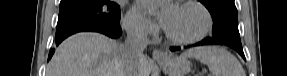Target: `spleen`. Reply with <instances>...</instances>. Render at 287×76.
Here are the masks:
<instances>
[{
  "instance_id": "spleen-1",
  "label": "spleen",
  "mask_w": 287,
  "mask_h": 76,
  "mask_svg": "<svg viewBox=\"0 0 287 76\" xmlns=\"http://www.w3.org/2000/svg\"><path fill=\"white\" fill-rule=\"evenodd\" d=\"M182 57H190L207 65L212 76H246L238 59L219 46H203L189 49Z\"/></svg>"
}]
</instances>
